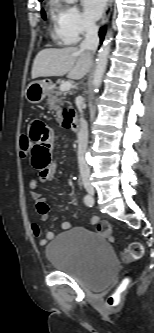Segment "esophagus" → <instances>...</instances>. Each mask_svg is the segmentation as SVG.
I'll return each instance as SVG.
<instances>
[{
	"label": "esophagus",
	"mask_w": 154,
	"mask_h": 333,
	"mask_svg": "<svg viewBox=\"0 0 154 333\" xmlns=\"http://www.w3.org/2000/svg\"><path fill=\"white\" fill-rule=\"evenodd\" d=\"M112 4H113V0H108V4L106 6V9L104 11V14H103L101 22H100L101 26L106 24V22L108 21L111 11H112Z\"/></svg>",
	"instance_id": "34e87169"
}]
</instances>
